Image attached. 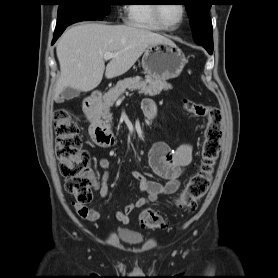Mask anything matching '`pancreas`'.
<instances>
[{
  "instance_id": "cf45deb5",
  "label": "pancreas",
  "mask_w": 278,
  "mask_h": 278,
  "mask_svg": "<svg viewBox=\"0 0 278 278\" xmlns=\"http://www.w3.org/2000/svg\"><path fill=\"white\" fill-rule=\"evenodd\" d=\"M171 84L165 80L153 78L150 76L146 77V80L140 78H127L119 81L116 86L110 89L103 97V103L100 109V115L106 121L112 120L110 114V107L113 106L115 101L128 89L130 91L139 90V93L149 96H155L161 93L162 90L171 89Z\"/></svg>"
}]
</instances>
